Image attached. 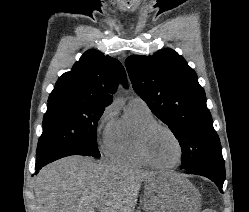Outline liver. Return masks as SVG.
Segmentation results:
<instances>
[{
  "label": "liver",
  "instance_id": "liver-1",
  "mask_svg": "<svg viewBox=\"0 0 249 212\" xmlns=\"http://www.w3.org/2000/svg\"><path fill=\"white\" fill-rule=\"evenodd\" d=\"M173 172H144L68 156L40 170L34 212H134L142 182L163 188Z\"/></svg>",
  "mask_w": 249,
  "mask_h": 212
}]
</instances>
